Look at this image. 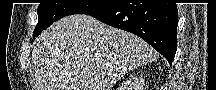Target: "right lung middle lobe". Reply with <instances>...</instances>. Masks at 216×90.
I'll return each instance as SVG.
<instances>
[{"mask_svg": "<svg viewBox=\"0 0 216 90\" xmlns=\"http://www.w3.org/2000/svg\"><path fill=\"white\" fill-rule=\"evenodd\" d=\"M108 4H45L41 3L38 7V23L34 29L33 36H38L45 28L53 22L72 14H87L91 11L101 9Z\"/></svg>", "mask_w": 216, "mask_h": 90, "instance_id": "1", "label": "right lung middle lobe"}]
</instances>
